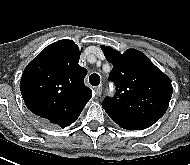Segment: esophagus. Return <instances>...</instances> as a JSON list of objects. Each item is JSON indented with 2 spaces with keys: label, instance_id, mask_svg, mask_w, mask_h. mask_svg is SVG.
<instances>
[{
  "label": "esophagus",
  "instance_id": "1",
  "mask_svg": "<svg viewBox=\"0 0 190 165\" xmlns=\"http://www.w3.org/2000/svg\"><path fill=\"white\" fill-rule=\"evenodd\" d=\"M94 92H95L96 96L99 97L102 93V86L99 85V86L95 87Z\"/></svg>",
  "mask_w": 190,
  "mask_h": 165
}]
</instances>
